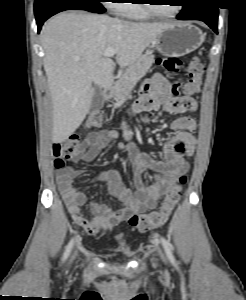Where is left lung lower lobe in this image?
<instances>
[{
  "label": "left lung lower lobe",
  "mask_w": 246,
  "mask_h": 300,
  "mask_svg": "<svg viewBox=\"0 0 246 300\" xmlns=\"http://www.w3.org/2000/svg\"><path fill=\"white\" fill-rule=\"evenodd\" d=\"M218 14V7L213 0H192L183 7L177 19L203 21L217 33Z\"/></svg>",
  "instance_id": "left-lung-lower-lobe-1"
}]
</instances>
